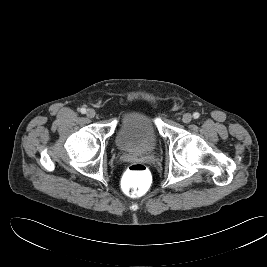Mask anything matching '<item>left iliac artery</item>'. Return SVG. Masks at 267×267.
<instances>
[{
	"label": "left iliac artery",
	"mask_w": 267,
	"mask_h": 267,
	"mask_svg": "<svg viewBox=\"0 0 267 267\" xmlns=\"http://www.w3.org/2000/svg\"><path fill=\"white\" fill-rule=\"evenodd\" d=\"M199 116H200V114H199L198 112H195V113L193 114V118H194V119H198Z\"/></svg>",
	"instance_id": "44dca946"
}]
</instances>
